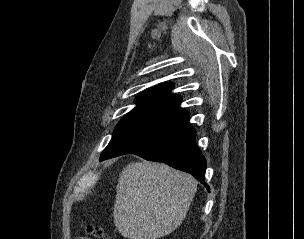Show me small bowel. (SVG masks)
Returning a JSON list of instances; mask_svg holds the SVG:
<instances>
[{"instance_id": "small-bowel-1", "label": "small bowel", "mask_w": 304, "mask_h": 239, "mask_svg": "<svg viewBox=\"0 0 304 239\" xmlns=\"http://www.w3.org/2000/svg\"><path fill=\"white\" fill-rule=\"evenodd\" d=\"M78 239H90V238H88V237H81V238H78Z\"/></svg>"}]
</instances>
